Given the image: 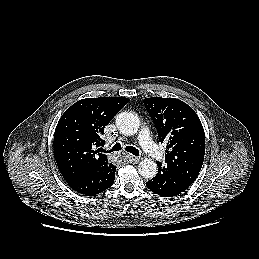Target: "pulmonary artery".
<instances>
[{
	"label": "pulmonary artery",
	"mask_w": 259,
	"mask_h": 259,
	"mask_svg": "<svg viewBox=\"0 0 259 259\" xmlns=\"http://www.w3.org/2000/svg\"><path fill=\"white\" fill-rule=\"evenodd\" d=\"M139 140L145 152L148 153L153 160H160L164 157L163 153L151 141L150 133L147 129H142Z\"/></svg>",
	"instance_id": "pulmonary-artery-1"
}]
</instances>
